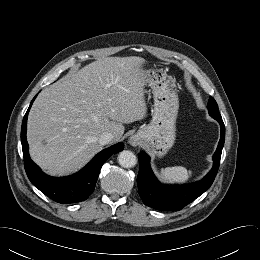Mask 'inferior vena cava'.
<instances>
[{
    "label": "inferior vena cava",
    "instance_id": "inferior-vena-cava-1",
    "mask_svg": "<svg viewBox=\"0 0 260 260\" xmlns=\"http://www.w3.org/2000/svg\"><path fill=\"white\" fill-rule=\"evenodd\" d=\"M113 139H114V135L112 133L105 132L99 137V143L101 145H106L110 143Z\"/></svg>",
    "mask_w": 260,
    "mask_h": 260
}]
</instances>
